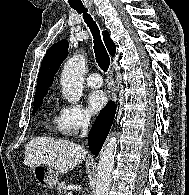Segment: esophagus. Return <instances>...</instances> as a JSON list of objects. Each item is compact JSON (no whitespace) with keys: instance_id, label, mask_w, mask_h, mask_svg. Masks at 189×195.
<instances>
[{"instance_id":"34e87169","label":"esophagus","mask_w":189,"mask_h":195,"mask_svg":"<svg viewBox=\"0 0 189 195\" xmlns=\"http://www.w3.org/2000/svg\"><path fill=\"white\" fill-rule=\"evenodd\" d=\"M112 100H113V101H116V100H117V95H116L115 92H114L113 95H112Z\"/></svg>"}]
</instances>
